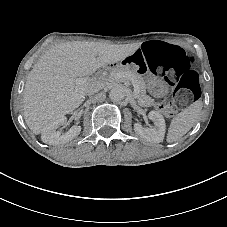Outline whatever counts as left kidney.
<instances>
[{
	"mask_svg": "<svg viewBox=\"0 0 227 227\" xmlns=\"http://www.w3.org/2000/svg\"><path fill=\"white\" fill-rule=\"evenodd\" d=\"M149 119L155 122L154 127H143L141 123L134 124L135 132L149 142L160 143L165 138L166 123L164 117L157 111H150Z\"/></svg>",
	"mask_w": 227,
	"mask_h": 227,
	"instance_id": "obj_1",
	"label": "left kidney"
}]
</instances>
